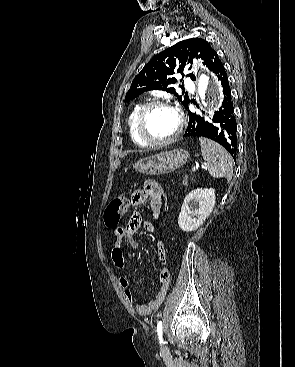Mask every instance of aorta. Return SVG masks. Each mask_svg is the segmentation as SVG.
Masks as SVG:
<instances>
[{
	"instance_id": "1",
	"label": "aorta",
	"mask_w": 295,
	"mask_h": 367,
	"mask_svg": "<svg viewBox=\"0 0 295 367\" xmlns=\"http://www.w3.org/2000/svg\"><path fill=\"white\" fill-rule=\"evenodd\" d=\"M210 86L213 88V98L211 103L214 106H218L221 104L223 99V90L220 83L216 79H210L209 75L201 74L199 77L198 89L204 104L205 97Z\"/></svg>"
}]
</instances>
